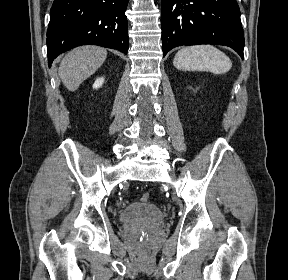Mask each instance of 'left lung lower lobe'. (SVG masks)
Returning a JSON list of instances; mask_svg holds the SVG:
<instances>
[{"instance_id": "left-lung-lower-lobe-1", "label": "left lung lower lobe", "mask_w": 288, "mask_h": 280, "mask_svg": "<svg viewBox=\"0 0 288 280\" xmlns=\"http://www.w3.org/2000/svg\"><path fill=\"white\" fill-rule=\"evenodd\" d=\"M163 57L182 45L217 44L243 59L244 32L236 0H162Z\"/></svg>"}]
</instances>
